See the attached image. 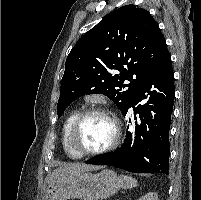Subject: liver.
Returning <instances> with one entry per match:
<instances>
[{"label": "liver", "instance_id": "obj_1", "mask_svg": "<svg viewBox=\"0 0 201 200\" xmlns=\"http://www.w3.org/2000/svg\"><path fill=\"white\" fill-rule=\"evenodd\" d=\"M92 169H97V167L89 166V165H83V164H69L63 167L56 168L51 176L48 178L47 182L50 184L51 182H54L64 175L78 173V172H86Z\"/></svg>", "mask_w": 201, "mask_h": 200}]
</instances>
